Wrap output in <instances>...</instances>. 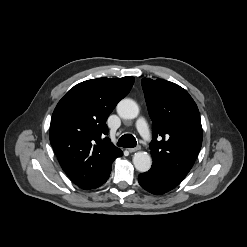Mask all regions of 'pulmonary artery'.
I'll return each instance as SVG.
<instances>
[{
	"instance_id": "e3ab8cb5",
	"label": "pulmonary artery",
	"mask_w": 247,
	"mask_h": 247,
	"mask_svg": "<svg viewBox=\"0 0 247 247\" xmlns=\"http://www.w3.org/2000/svg\"><path fill=\"white\" fill-rule=\"evenodd\" d=\"M137 129L139 131V133L141 134V136L146 140V141H150L151 140V134H150V130H149V126L147 124V122L141 118L137 121Z\"/></svg>"
}]
</instances>
